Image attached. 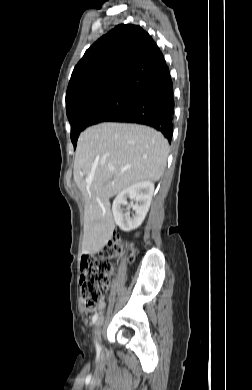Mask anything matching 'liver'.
I'll list each match as a JSON object with an SVG mask.
<instances>
[{
  "label": "liver",
  "mask_w": 252,
  "mask_h": 390,
  "mask_svg": "<svg viewBox=\"0 0 252 390\" xmlns=\"http://www.w3.org/2000/svg\"><path fill=\"white\" fill-rule=\"evenodd\" d=\"M168 152L164 136L143 125L100 123L81 133L74 181L85 200L84 254L99 252L112 238L115 224L109 199L136 183L158 181Z\"/></svg>",
  "instance_id": "liver-1"
}]
</instances>
